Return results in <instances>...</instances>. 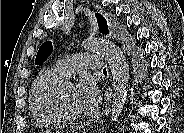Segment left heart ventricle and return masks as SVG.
<instances>
[{
  "instance_id": "1",
  "label": "left heart ventricle",
  "mask_w": 184,
  "mask_h": 133,
  "mask_svg": "<svg viewBox=\"0 0 184 133\" xmlns=\"http://www.w3.org/2000/svg\"><path fill=\"white\" fill-rule=\"evenodd\" d=\"M63 102L66 110L75 116H81L83 111L78 107L75 100V88L72 84H65L63 88Z\"/></svg>"
}]
</instances>
